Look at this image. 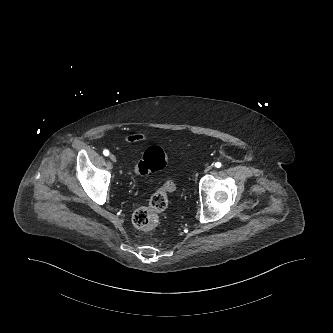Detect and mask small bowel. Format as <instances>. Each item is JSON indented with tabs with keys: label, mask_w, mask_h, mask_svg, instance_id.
Returning <instances> with one entry per match:
<instances>
[{
	"label": "small bowel",
	"mask_w": 333,
	"mask_h": 333,
	"mask_svg": "<svg viewBox=\"0 0 333 333\" xmlns=\"http://www.w3.org/2000/svg\"><path fill=\"white\" fill-rule=\"evenodd\" d=\"M124 140L131 143L143 142L146 137L142 134H131L124 137Z\"/></svg>",
	"instance_id": "obj_1"
}]
</instances>
